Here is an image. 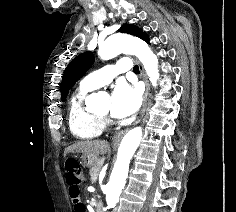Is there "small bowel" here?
Segmentation results:
<instances>
[{
	"instance_id": "1",
	"label": "small bowel",
	"mask_w": 236,
	"mask_h": 212,
	"mask_svg": "<svg viewBox=\"0 0 236 212\" xmlns=\"http://www.w3.org/2000/svg\"><path fill=\"white\" fill-rule=\"evenodd\" d=\"M79 184L80 179H72V176H69L67 191L70 195L69 202H72V212H88V205H79L82 203Z\"/></svg>"
}]
</instances>
